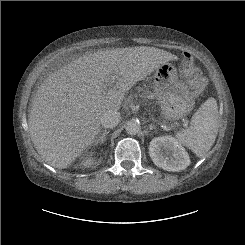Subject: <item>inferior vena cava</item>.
Returning <instances> with one entry per match:
<instances>
[{"label":"inferior vena cava","mask_w":245,"mask_h":245,"mask_svg":"<svg viewBox=\"0 0 245 245\" xmlns=\"http://www.w3.org/2000/svg\"><path fill=\"white\" fill-rule=\"evenodd\" d=\"M120 113L116 110H107L101 117L100 122L105 128H113L120 122Z\"/></svg>","instance_id":"1"}]
</instances>
